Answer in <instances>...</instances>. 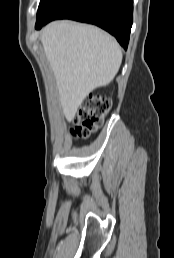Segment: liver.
Returning <instances> with one entry per match:
<instances>
[{
	"label": "liver",
	"mask_w": 174,
	"mask_h": 258,
	"mask_svg": "<svg viewBox=\"0 0 174 258\" xmlns=\"http://www.w3.org/2000/svg\"><path fill=\"white\" fill-rule=\"evenodd\" d=\"M41 42L56 79L63 114L71 120L89 93L113 80L122 62L121 49L101 29L71 21L47 25Z\"/></svg>",
	"instance_id": "liver-1"
}]
</instances>
